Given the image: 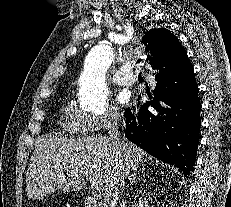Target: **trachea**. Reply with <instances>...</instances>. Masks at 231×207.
Segmentation results:
<instances>
[{"label": "trachea", "mask_w": 231, "mask_h": 207, "mask_svg": "<svg viewBox=\"0 0 231 207\" xmlns=\"http://www.w3.org/2000/svg\"><path fill=\"white\" fill-rule=\"evenodd\" d=\"M136 63H137V64H138V63H140V60H137V62H136ZM140 76H141V72H140V74H139V77H140Z\"/></svg>", "instance_id": "obj_1"}]
</instances>
